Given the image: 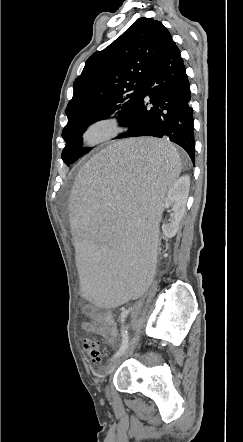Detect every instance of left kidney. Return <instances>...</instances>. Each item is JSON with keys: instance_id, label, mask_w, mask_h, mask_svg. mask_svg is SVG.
<instances>
[{"instance_id": "obj_1", "label": "left kidney", "mask_w": 243, "mask_h": 442, "mask_svg": "<svg viewBox=\"0 0 243 442\" xmlns=\"http://www.w3.org/2000/svg\"><path fill=\"white\" fill-rule=\"evenodd\" d=\"M189 185V177H181L171 187L168 191L167 197L163 201V207L172 208V214L169 220L170 223L162 225V229L164 230V233H166L167 238L174 237L178 231L179 223L186 210Z\"/></svg>"}]
</instances>
